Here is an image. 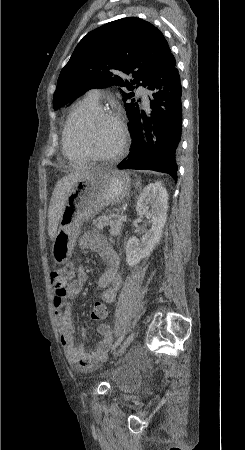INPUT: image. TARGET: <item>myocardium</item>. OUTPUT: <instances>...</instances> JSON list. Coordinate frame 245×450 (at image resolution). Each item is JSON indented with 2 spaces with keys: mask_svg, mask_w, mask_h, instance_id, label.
<instances>
[{
  "mask_svg": "<svg viewBox=\"0 0 245 450\" xmlns=\"http://www.w3.org/2000/svg\"><path fill=\"white\" fill-rule=\"evenodd\" d=\"M101 119L111 120V121L115 122L119 127L121 140H120V144H119L118 148L114 152L107 154V155H98V154L94 153L90 149V147L80 138L79 133L76 130L75 123L72 126L73 141H74V144L76 145V147L78 149H80L89 159L98 161V162L113 161V160H116V159L120 158L121 156H123V154L125 153V151L127 149V146L129 143L128 129H127L126 123L121 118V116H119L118 114H116L115 112H113L111 110H106V109H101V108L92 111L90 114L85 116L81 121L84 124L86 129H90L97 121H99Z\"/></svg>",
  "mask_w": 245,
  "mask_h": 450,
  "instance_id": "myocardium-1",
  "label": "myocardium"
}]
</instances>
